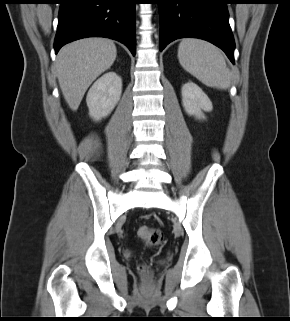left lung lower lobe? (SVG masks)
Instances as JSON below:
<instances>
[{
	"label": "left lung lower lobe",
	"instance_id": "1",
	"mask_svg": "<svg viewBox=\"0 0 290 321\" xmlns=\"http://www.w3.org/2000/svg\"><path fill=\"white\" fill-rule=\"evenodd\" d=\"M229 0H159L160 51L178 38H200L221 48L234 64Z\"/></svg>",
	"mask_w": 290,
	"mask_h": 321
}]
</instances>
